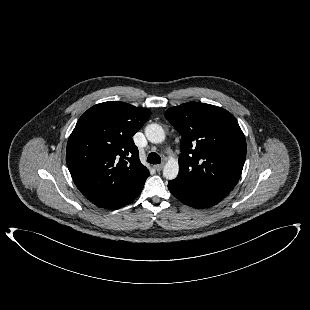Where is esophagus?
I'll return each instance as SVG.
<instances>
[{"instance_id":"obj_1","label":"esophagus","mask_w":310,"mask_h":310,"mask_svg":"<svg viewBox=\"0 0 310 310\" xmlns=\"http://www.w3.org/2000/svg\"><path fill=\"white\" fill-rule=\"evenodd\" d=\"M164 165L163 164H158V165H155L154 168L156 171L160 172L162 169H163Z\"/></svg>"}]
</instances>
